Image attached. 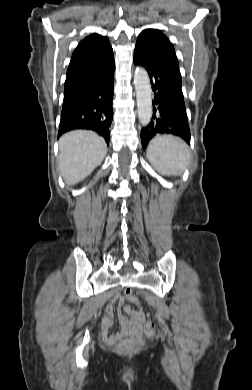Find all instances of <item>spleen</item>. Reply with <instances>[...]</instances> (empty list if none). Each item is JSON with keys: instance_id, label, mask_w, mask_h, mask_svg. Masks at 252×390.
<instances>
[{"instance_id": "obj_1", "label": "spleen", "mask_w": 252, "mask_h": 390, "mask_svg": "<svg viewBox=\"0 0 252 390\" xmlns=\"http://www.w3.org/2000/svg\"><path fill=\"white\" fill-rule=\"evenodd\" d=\"M147 157L158 172L163 175H178L189 160L188 146L179 138L156 136L149 145Z\"/></svg>"}]
</instances>
